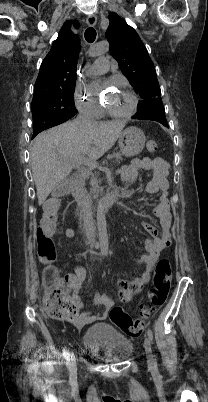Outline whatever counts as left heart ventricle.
Segmentation results:
<instances>
[{
    "label": "left heart ventricle",
    "mask_w": 208,
    "mask_h": 402,
    "mask_svg": "<svg viewBox=\"0 0 208 402\" xmlns=\"http://www.w3.org/2000/svg\"><path fill=\"white\" fill-rule=\"evenodd\" d=\"M93 94L97 95L96 87H93ZM109 105L117 111H127L132 106V98L125 91H120L118 94L106 98Z\"/></svg>",
    "instance_id": "obj_1"
}]
</instances>
